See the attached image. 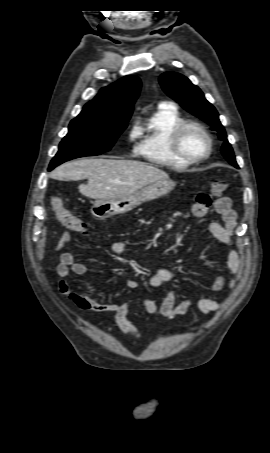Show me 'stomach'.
I'll use <instances>...</instances> for the list:
<instances>
[{
  "instance_id": "1",
  "label": "stomach",
  "mask_w": 270,
  "mask_h": 453,
  "mask_svg": "<svg viewBox=\"0 0 270 453\" xmlns=\"http://www.w3.org/2000/svg\"><path fill=\"white\" fill-rule=\"evenodd\" d=\"M175 186V183L168 179L158 180L136 191L128 196L113 199H98L94 202L91 213L99 218L108 217L126 213L144 201L159 198L169 193Z\"/></svg>"
}]
</instances>
